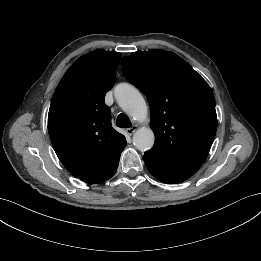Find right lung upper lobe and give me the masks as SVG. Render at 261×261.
Returning a JSON list of instances; mask_svg holds the SVG:
<instances>
[{"mask_svg": "<svg viewBox=\"0 0 261 261\" xmlns=\"http://www.w3.org/2000/svg\"><path fill=\"white\" fill-rule=\"evenodd\" d=\"M121 53L95 50L67 70L51 101L48 131L53 148L76 178L96 184L118 167L125 137L111 125L105 94L115 83Z\"/></svg>", "mask_w": 261, "mask_h": 261, "instance_id": "obj_1", "label": "right lung upper lobe"}]
</instances>
